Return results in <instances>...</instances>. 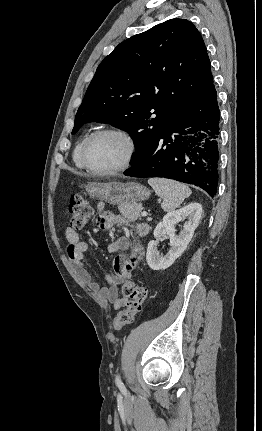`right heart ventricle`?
<instances>
[{
    "mask_svg": "<svg viewBox=\"0 0 262 431\" xmlns=\"http://www.w3.org/2000/svg\"><path fill=\"white\" fill-rule=\"evenodd\" d=\"M86 138H87V136H84L83 138H81L77 142V144L75 145L74 150H73V154H72L73 163H74L75 167L78 169H84V167L81 163L80 154H81V149H82V146H83Z\"/></svg>",
    "mask_w": 262,
    "mask_h": 431,
    "instance_id": "e07e8e85",
    "label": "right heart ventricle"
}]
</instances>
